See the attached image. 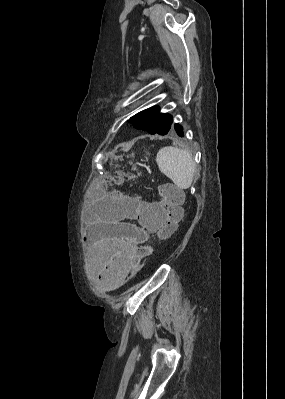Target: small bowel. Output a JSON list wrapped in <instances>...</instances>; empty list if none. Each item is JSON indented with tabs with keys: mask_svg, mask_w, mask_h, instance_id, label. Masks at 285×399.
<instances>
[{
	"mask_svg": "<svg viewBox=\"0 0 285 399\" xmlns=\"http://www.w3.org/2000/svg\"><path fill=\"white\" fill-rule=\"evenodd\" d=\"M119 216L123 227L118 235L107 238L108 241L114 242V245L104 248L106 261L100 257L92 259L98 276L112 289L120 287L130 276L136 247L146 243L149 236L155 234L167 222V214L161 208L160 202L146 204L135 197L130 205L120 210Z\"/></svg>",
	"mask_w": 285,
	"mask_h": 399,
	"instance_id": "small-bowel-1",
	"label": "small bowel"
}]
</instances>
